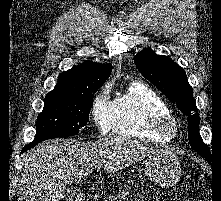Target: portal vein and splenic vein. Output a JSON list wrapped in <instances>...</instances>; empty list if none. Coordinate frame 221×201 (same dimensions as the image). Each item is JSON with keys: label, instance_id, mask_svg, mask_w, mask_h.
I'll return each instance as SVG.
<instances>
[{"label": "portal vein and splenic vein", "instance_id": "1", "mask_svg": "<svg viewBox=\"0 0 221 201\" xmlns=\"http://www.w3.org/2000/svg\"><path fill=\"white\" fill-rule=\"evenodd\" d=\"M96 170L97 171H99L100 170V167L98 166V167H96ZM127 195H129V192L128 191H126V192H123L122 194H120L118 197H121V198H123V197H125V196H127ZM117 199V198H116Z\"/></svg>", "mask_w": 221, "mask_h": 201}]
</instances>
